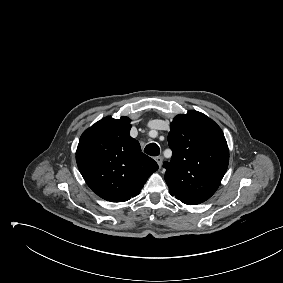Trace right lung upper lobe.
Instances as JSON below:
<instances>
[{"mask_svg": "<svg viewBox=\"0 0 283 283\" xmlns=\"http://www.w3.org/2000/svg\"><path fill=\"white\" fill-rule=\"evenodd\" d=\"M131 120L106 117L81 136L76 161L87 185L99 197L124 202L141 191L157 163L140 150L129 131Z\"/></svg>", "mask_w": 283, "mask_h": 283, "instance_id": "right-lung-upper-lobe-1", "label": "right lung upper lobe"}]
</instances>
